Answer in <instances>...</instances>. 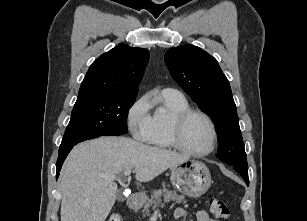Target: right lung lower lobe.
Listing matches in <instances>:
<instances>
[{
    "instance_id": "98d812e1",
    "label": "right lung lower lobe",
    "mask_w": 307,
    "mask_h": 221,
    "mask_svg": "<svg viewBox=\"0 0 307 221\" xmlns=\"http://www.w3.org/2000/svg\"><path fill=\"white\" fill-rule=\"evenodd\" d=\"M72 148L73 147L59 152V156H58L57 163H56V177L57 178L59 177V172L61 170L62 164Z\"/></svg>"
}]
</instances>
